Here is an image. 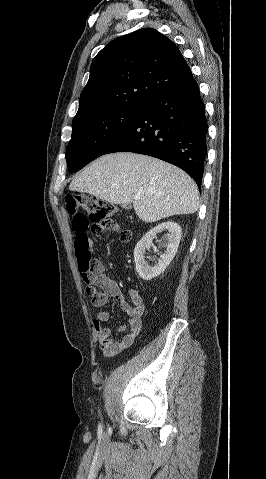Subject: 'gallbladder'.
<instances>
[{"label":"gallbladder","mask_w":266,"mask_h":479,"mask_svg":"<svg viewBox=\"0 0 266 479\" xmlns=\"http://www.w3.org/2000/svg\"><path fill=\"white\" fill-rule=\"evenodd\" d=\"M125 207L128 209L132 208L130 204H127Z\"/></svg>","instance_id":"gallbladder-1"}]
</instances>
